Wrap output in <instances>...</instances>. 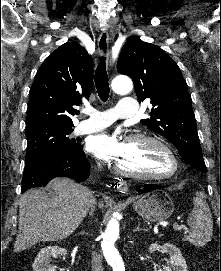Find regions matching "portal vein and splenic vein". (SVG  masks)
Here are the masks:
<instances>
[{
  "label": "portal vein and splenic vein",
  "instance_id": "18ae733b",
  "mask_svg": "<svg viewBox=\"0 0 221 271\" xmlns=\"http://www.w3.org/2000/svg\"><path fill=\"white\" fill-rule=\"evenodd\" d=\"M173 227H174V229H181V227H183V225H178V223H173Z\"/></svg>",
  "mask_w": 221,
  "mask_h": 271
}]
</instances>
